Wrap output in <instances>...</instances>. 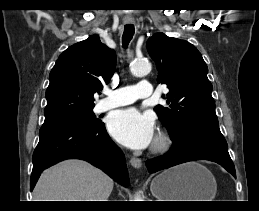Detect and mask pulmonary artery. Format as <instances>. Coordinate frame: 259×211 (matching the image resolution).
<instances>
[{
  "mask_svg": "<svg viewBox=\"0 0 259 211\" xmlns=\"http://www.w3.org/2000/svg\"><path fill=\"white\" fill-rule=\"evenodd\" d=\"M152 86L148 81L107 91V96L97 104V111L104 112L116 107L132 104L138 99L150 98Z\"/></svg>",
  "mask_w": 259,
  "mask_h": 211,
  "instance_id": "1",
  "label": "pulmonary artery"
}]
</instances>
